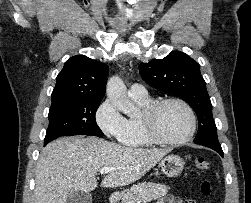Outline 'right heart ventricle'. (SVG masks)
<instances>
[{"label": "right heart ventricle", "mask_w": 251, "mask_h": 203, "mask_svg": "<svg viewBox=\"0 0 251 203\" xmlns=\"http://www.w3.org/2000/svg\"><path fill=\"white\" fill-rule=\"evenodd\" d=\"M133 100L143 109L152 102L150 98ZM119 140L122 145L130 148L148 147L152 144L143 132L141 117L126 119V128Z\"/></svg>", "instance_id": "1"}]
</instances>
